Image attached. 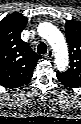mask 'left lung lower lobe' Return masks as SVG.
Instances as JSON below:
<instances>
[{
    "instance_id": "left-lung-lower-lobe-1",
    "label": "left lung lower lobe",
    "mask_w": 81,
    "mask_h": 124,
    "mask_svg": "<svg viewBox=\"0 0 81 124\" xmlns=\"http://www.w3.org/2000/svg\"><path fill=\"white\" fill-rule=\"evenodd\" d=\"M57 78H58V80L60 81V83H61L62 85H64L65 87H67V88H74V87L72 86V84L66 82V81H65L60 75H58V74H57Z\"/></svg>"
}]
</instances>
